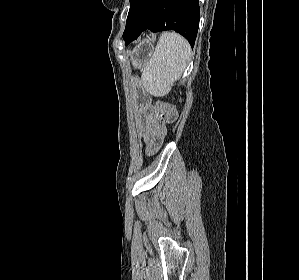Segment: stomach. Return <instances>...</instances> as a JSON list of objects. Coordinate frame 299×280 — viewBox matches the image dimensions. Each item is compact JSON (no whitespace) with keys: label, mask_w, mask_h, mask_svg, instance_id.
<instances>
[{"label":"stomach","mask_w":299,"mask_h":280,"mask_svg":"<svg viewBox=\"0 0 299 280\" xmlns=\"http://www.w3.org/2000/svg\"><path fill=\"white\" fill-rule=\"evenodd\" d=\"M153 51V44L149 40L140 42L130 54L133 66L138 69L144 68L147 62H149ZM137 98L139 101L145 100V94L138 90Z\"/></svg>","instance_id":"0dacf381"}]
</instances>
